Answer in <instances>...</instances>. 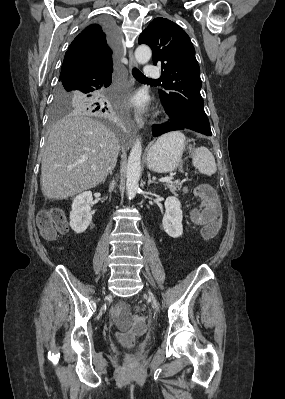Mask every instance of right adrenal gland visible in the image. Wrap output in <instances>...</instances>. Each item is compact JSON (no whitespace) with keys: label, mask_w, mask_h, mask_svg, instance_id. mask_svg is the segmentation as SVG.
Here are the masks:
<instances>
[{"label":"right adrenal gland","mask_w":285,"mask_h":399,"mask_svg":"<svg viewBox=\"0 0 285 399\" xmlns=\"http://www.w3.org/2000/svg\"><path fill=\"white\" fill-rule=\"evenodd\" d=\"M115 167V166H114ZM114 167L112 168V169H110L109 170V174L112 176V174H113V169H114Z\"/></svg>","instance_id":"1"}]
</instances>
